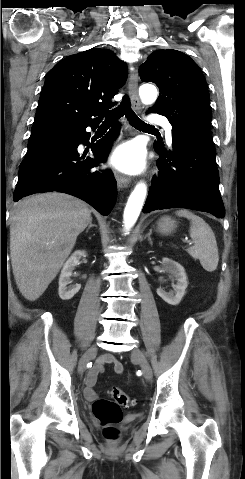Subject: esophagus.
Segmentation results:
<instances>
[{"mask_svg":"<svg viewBox=\"0 0 245 479\" xmlns=\"http://www.w3.org/2000/svg\"><path fill=\"white\" fill-rule=\"evenodd\" d=\"M128 89L131 98L132 106L135 110L141 109V103L138 96V72L136 69H132L129 74L128 80ZM115 178L119 188H125L130 183V178L119 173L118 171L114 172Z\"/></svg>","mask_w":245,"mask_h":479,"instance_id":"34e87169","label":"esophagus"}]
</instances>
